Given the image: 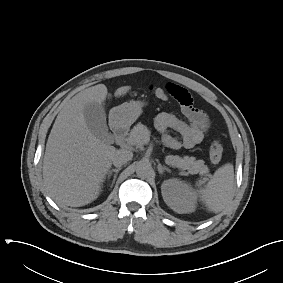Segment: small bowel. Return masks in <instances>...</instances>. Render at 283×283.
Masks as SVG:
<instances>
[{
    "label": "small bowel",
    "mask_w": 283,
    "mask_h": 283,
    "mask_svg": "<svg viewBox=\"0 0 283 283\" xmlns=\"http://www.w3.org/2000/svg\"><path fill=\"white\" fill-rule=\"evenodd\" d=\"M165 91L167 96L170 95L179 102L185 120L171 113L161 112L155 118V127L162 134V141L166 147L172 150L192 148L204 139L210 127V120L205 112L194 106L193 98L185 88L168 83ZM172 129L180 136H172L169 133Z\"/></svg>",
    "instance_id": "obj_1"
}]
</instances>
